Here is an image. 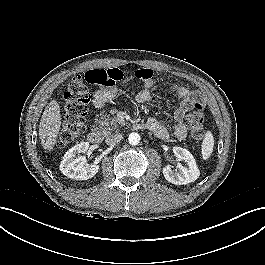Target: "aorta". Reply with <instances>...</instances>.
Masks as SVG:
<instances>
[{
  "mask_svg": "<svg viewBox=\"0 0 265 265\" xmlns=\"http://www.w3.org/2000/svg\"><path fill=\"white\" fill-rule=\"evenodd\" d=\"M128 142L130 145H138L140 142V135L136 132L130 133L128 136Z\"/></svg>",
  "mask_w": 265,
  "mask_h": 265,
  "instance_id": "1",
  "label": "aorta"
}]
</instances>
